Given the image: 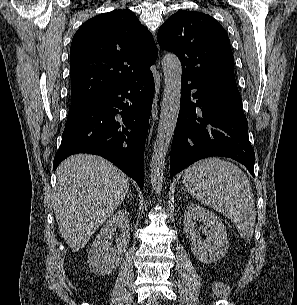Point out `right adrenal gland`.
<instances>
[{
	"mask_svg": "<svg viewBox=\"0 0 297 305\" xmlns=\"http://www.w3.org/2000/svg\"><path fill=\"white\" fill-rule=\"evenodd\" d=\"M128 196H131V197H132V193H131V192H129Z\"/></svg>",
	"mask_w": 297,
	"mask_h": 305,
	"instance_id": "2a0ac1e0",
	"label": "right adrenal gland"
}]
</instances>
